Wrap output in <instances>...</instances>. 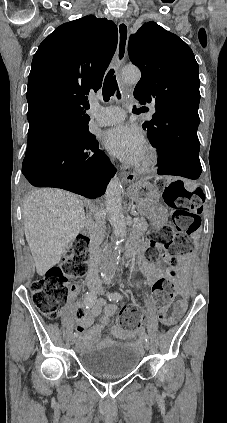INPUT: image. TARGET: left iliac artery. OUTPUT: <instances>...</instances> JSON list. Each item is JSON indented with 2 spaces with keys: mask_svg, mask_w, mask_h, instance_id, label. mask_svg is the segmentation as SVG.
<instances>
[{
  "mask_svg": "<svg viewBox=\"0 0 227 423\" xmlns=\"http://www.w3.org/2000/svg\"><path fill=\"white\" fill-rule=\"evenodd\" d=\"M108 298L110 301L118 302L122 298V296L120 295V293L114 292V293H108ZM144 340L146 342H149V336L147 334L144 335Z\"/></svg>",
  "mask_w": 227,
  "mask_h": 423,
  "instance_id": "left-iliac-artery-1",
  "label": "left iliac artery"
}]
</instances>
